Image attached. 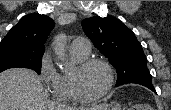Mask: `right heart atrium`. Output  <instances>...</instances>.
Instances as JSON below:
<instances>
[{
    "instance_id": "1",
    "label": "right heart atrium",
    "mask_w": 171,
    "mask_h": 110,
    "mask_svg": "<svg viewBox=\"0 0 171 110\" xmlns=\"http://www.w3.org/2000/svg\"><path fill=\"white\" fill-rule=\"evenodd\" d=\"M39 77L42 83L51 91L57 83L59 73L52 64L51 56L45 53L40 61Z\"/></svg>"
}]
</instances>
